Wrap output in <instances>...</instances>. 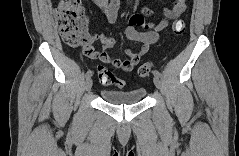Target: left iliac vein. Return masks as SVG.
<instances>
[{
    "mask_svg": "<svg viewBox=\"0 0 239 156\" xmlns=\"http://www.w3.org/2000/svg\"><path fill=\"white\" fill-rule=\"evenodd\" d=\"M153 82H154L155 86L159 89L160 85H161V82H160V79H159L158 76H154Z\"/></svg>",
    "mask_w": 239,
    "mask_h": 156,
    "instance_id": "1",
    "label": "left iliac vein"
}]
</instances>
